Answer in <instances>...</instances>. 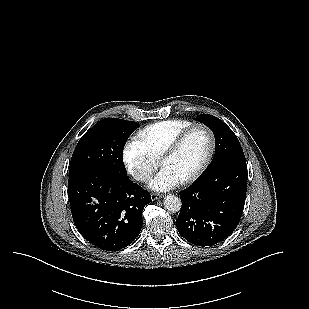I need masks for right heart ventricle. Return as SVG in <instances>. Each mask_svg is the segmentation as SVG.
Instances as JSON below:
<instances>
[{"mask_svg": "<svg viewBox=\"0 0 309 309\" xmlns=\"http://www.w3.org/2000/svg\"><path fill=\"white\" fill-rule=\"evenodd\" d=\"M189 120L169 119L152 123L136 135V141L154 158L159 159L171 141L186 127Z\"/></svg>", "mask_w": 309, "mask_h": 309, "instance_id": "1", "label": "right heart ventricle"}]
</instances>
